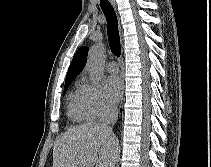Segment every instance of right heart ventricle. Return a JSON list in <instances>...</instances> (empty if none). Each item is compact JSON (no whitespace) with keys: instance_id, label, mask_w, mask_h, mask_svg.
Here are the masks:
<instances>
[{"instance_id":"1","label":"right heart ventricle","mask_w":211,"mask_h":167,"mask_svg":"<svg viewBox=\"0 0 211 167\" xmlns=\"http://www.w3.org/2000/svg\"><path fill=\"white\" fill-rule=\"evenodd\" d=\"M68 116L77 122L91 119L84 100L83 85L79 82L68 97Z\"/></svg>"}]
</instances>
